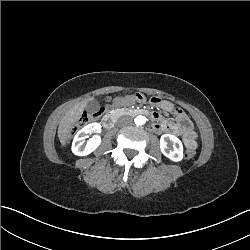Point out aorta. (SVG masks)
<instances>
[{
    "label": "aorta",
    "mask_w": 250,
    "mask_h": 250,
    "mask_svg": "<svg viewBox=\"0 0 250 250\" xmlns=\"http://www.w3.org/2000/svg\"><path fill=\"white\" fill-rule=\"evenodd\" d=\"M134 121L136 125H143L146 122V118L144 116L139 115L135 118Z\"/></svg>",
    "instance_id": "1"
}]
</instances>
